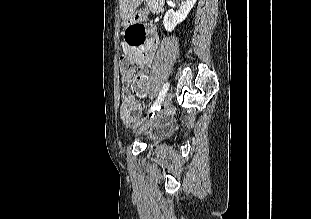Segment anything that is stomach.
Masks as SVG:
<instances>
[{
  "mask_svg": "<svg viewBox=\"0 0 311 219\" xmlns=\"http://www.w3.org/2000/svg\"><path fill=\"white\" fill-rule=\"evenodd\" d=\"M143 0H133L132 1V8L133 11L130 13L126 18L125 21L128 22H138L144 21L147 19V14L142 11H135L136 7L142 2Z\"/></svg>",
  "mask_w": 311,
  "mask_h": 219,
  "instance_id": "stomach-1",
  "label": "stomach"
}]
</instances>
